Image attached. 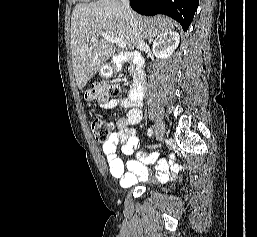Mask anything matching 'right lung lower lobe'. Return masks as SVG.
<instances>
[{"label": "right lung lower lobe", "instance_id": "obj_1", "mask_svg": "<svg viewBox=\"0 0 257 237\" xmlns=\"http://www.w3.org/2000/svg\"><path fill=\"white\" fill-rule=\"evenodd\" d=\"M199 0H130L131 7L146 16L167 15L179 22L184 31L191 24Z\"/></svg>", "mask_w": 257, "mask_h": 237}]
</instances>
